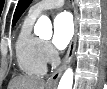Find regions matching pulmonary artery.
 Returning a JSON list of instances; mask_svg holds the SVG:
<instances>
[{
    "label": "pulmonary artery",
    "mask_w": 107,
    "mask_h": 89,
    "mask_svg": "<svg viewBox=\"0 0 107 89\" xmlns=\"http://www.w3.org/2000/svg\"><path fill=\"white\" fill-rule=\"evenodd\" d=\"M64 4L63 0H44L37 2L34 4L30 9H29V15L32 17H38L42 13L54 9V8H59L62 7Z\"/></svg>",
    "instance_id": "pulmonary-artery-1"
}]
</instances>
